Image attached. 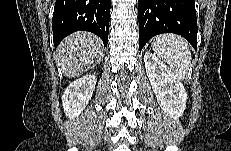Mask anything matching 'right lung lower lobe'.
<instances>
[{
	"mask_svg": "<svg viewBox=\"0 0 231 151\" xmlns=\"http://www.w3.org/2000/svg\"><path fill=\"white\" fill-rule=\"evenodd\" d=\"M111 0H56L52 30L58 44L75 31H89L108 43Z\"/></svg>",
	"mask_w": 231,
	"mask_h": 151,
	"instance_id": "98d812e1",
	"label": "right lung lower lobe"
}]
</instances>
